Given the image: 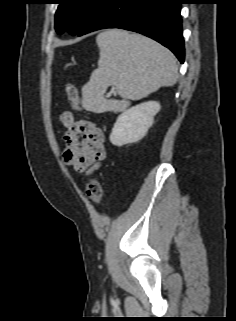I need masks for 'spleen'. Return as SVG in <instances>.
<instances>
[{
  "label": "spleen",
  "instance_id": "3e777b00",
  "mask_svg": "<svg viewBox=\"0 0 236 321\" xmlns=\"http://www.w3.org/2000/svg\"><path fill=\"white\" fill-rule=\"evenodd\" d=\"M100 50L98 68L82 87V107L102 113L119 112L158 90L173 86L178 79L176 58L159 43L123 30L112 29L100 33L96 39ZM114 85L121 101L104 97L108 86Z\"/></svg>",
  "mask_w": 236,
  "mask_h": 321
}]
</instances>
